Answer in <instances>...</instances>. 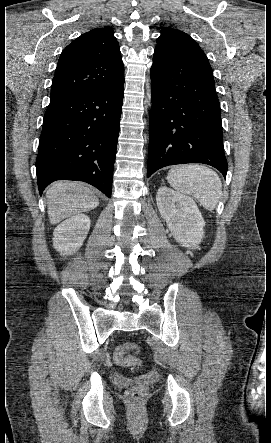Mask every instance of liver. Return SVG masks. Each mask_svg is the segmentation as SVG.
Here are the masks:
<instances>
[{"mask_svg": "<svg viewBox=\"0 0 271 443\" xmlns=\"http://www.w3.org/2000/svg\"><path fill=\"white\" fill-rule=\"evenodd\" d=\"M48 218L50 223H59L78 212H90L99 206L92 190L74 182H56L47 190Z\"/></svg>", "mask_w": 271, "mask_h": 443, "instance_id": "liver-1", "label": "liver"}]
</instances>
